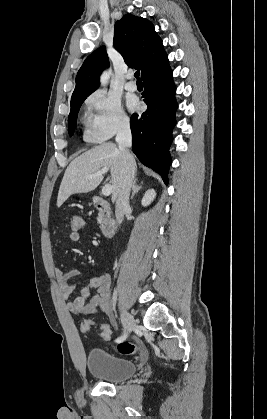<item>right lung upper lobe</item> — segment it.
I'll use <instances>...</instances> for the list:
<instances>
[{
  "mask_svg": "<svg viewBox=\"0 0 267 419\" xmlns=\"http://www.w3.org/2000/svg\"><path fill=\"white\" fill-rule=\"evenodd\" d=\"M114 48L130 67L141 70L142 76L168 60L161 38L153 24L142 17L124 15L115 23ZM109 67L104 46L91 53L79 69L72 98L89 96L100 85V74Z\"/></svg>",
  "mask_w": 267,
  "mask_h": 419,
  "instance_id": "cb5924a9",
  "label": "right lung upper lobe"
}]
</instances>
